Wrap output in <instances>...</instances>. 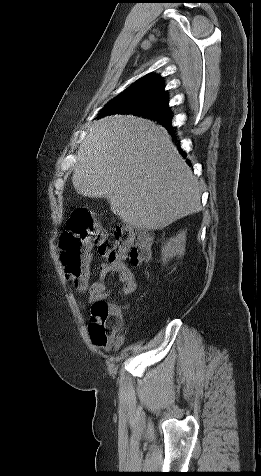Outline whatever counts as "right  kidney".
<instances>
[{"mask_svg":"<svg viewBox=\"0 0 261 476\" xmlns=\"http://www.w3.org/2000/svg\"><path fill=\"white\" fill-rule=\"evenodd\" d=\"M186 232H179L175 237L170 238L161 249L162 261L167 263L173 257H182L185 252Z\"/></svg>","mask_w":261,"mask_h":476,"instance_id":"right-kidney-1","label":"right kidney"}]
</instances>
